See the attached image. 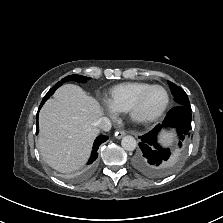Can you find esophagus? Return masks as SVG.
<instances>
[{
  "label": "esophagus",
  "instance_id": "1",
  "mask_svg": "<svg viewBox=\"0 0 223 223\" xmlns=\"http://www.w3.org/2000/svg\"><path fill=\"white\" fill-rule=\"evenodd\" d=\"M124 135H126V132L125 131H116L115 132V137L117 139H121Z\"/></svg>",
  "mask_w": 223,
  "mask_h": 223
}]
</instances>
